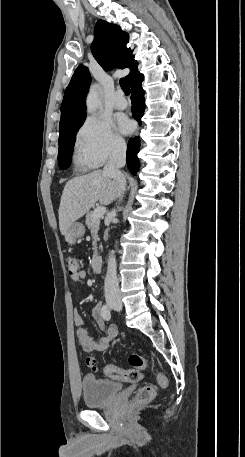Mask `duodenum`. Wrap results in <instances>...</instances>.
Listing matches in <instances>:
<instances>
[{
  "instance_id": "obj_1",
  "label": "duodenum",
  "mask_w": 245,
  "mask_h": 457,
  "mask_svg": "<svg viewBox=\"0 0 245 457\" xmlns=\"http://www.w3.org/2000/svg\"><path fill=\"white\" fill-rule=\"evenodd\" d=\"M101 267H102V257L100 255H95L92 258V269L95 272H99L101 270Z\"/></svg>"
}]
</instances>
